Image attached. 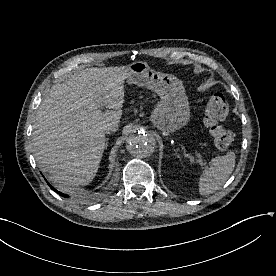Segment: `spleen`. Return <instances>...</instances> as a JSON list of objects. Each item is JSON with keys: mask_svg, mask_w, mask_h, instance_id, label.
I'll return each instance as SVG.
<instances>
[{"mask_svg": "<svg viewBox=\"0 0 276 276\" xmlns=\"http://www.w3.org/2000/svg\"><path fill=\"white\" fill-rule=\"evenodd\" d=\"M235 167V153L228 152L224 156H217L210 162L199 179L201 195L212 194L217 191L229 178Z\"/></svg>", "mask_w": 276, "mask_h": 276, "instance_id": "3e777b00", "label": "spleen"}]
</instances>
